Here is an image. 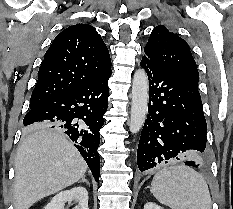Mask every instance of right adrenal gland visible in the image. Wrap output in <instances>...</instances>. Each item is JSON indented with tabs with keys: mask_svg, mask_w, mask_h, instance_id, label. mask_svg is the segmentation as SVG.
I'll return each instance as SVG.
<instances>
[{
	"mask_svg": "<svg viewBox=\"0 0 233 209\" xmlns=\"http://www.w3.org/2000/svg\"><path fill=\"white\" fill-rule=\"evenodd\" d=\"M80 182H85L87 185H90L89 181L85 178V175L81 178L80 181H78V183Z\"/></svg>",
	"mask_w": 233,
	"mask_h": 209,
	"instance_id": "1",
	"label": "right adrenal gland"
}]
</instances>
